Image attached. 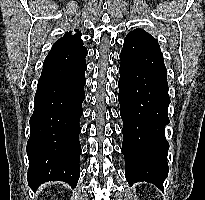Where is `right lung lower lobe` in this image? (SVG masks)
I'll return each instance as SVG.
<instances>
[{
    "instance_id": "98d812e1",
    "label": "right lung lower lobe",
    "mask_w": 205,
    "mask_h": 200,
    "mask_svg": "<svg viewBox=\"0 0 205 200\" xmlns=\"http://www.w3.org/2000/svg\"><path fill=\"white\" fill-rule=\"evenodd\" d=\"M86 55L85 47L50 51L43 63L26 149L28 184L33 190L54 180L64 181L72 188L77 185Z\"/></svg>"
}]
</instances>
